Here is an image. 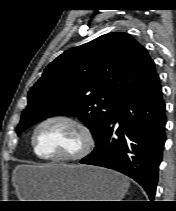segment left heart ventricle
Returning a JSON list of instances; mask_svg holds the SVG:
<instances>
[{
  "instance_id": "1",
  "label": "left heart ventricle",
  "mask_w": 176,
  "mask_h": 211,
  "mask_svg": "<svg viewBox=\"0 0 176 211\" xmlns=\"http://www.w3.org/2000/svg\"><path fill=\"white\" fill-rule=\"evenodd\" d=\"M82 136L77 128L65 122L44 125L36 136V146L42 156H68L79 151Z\"/></svg>"
}]
</instances>
